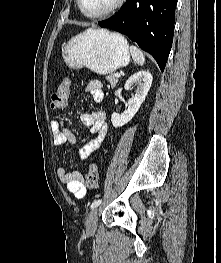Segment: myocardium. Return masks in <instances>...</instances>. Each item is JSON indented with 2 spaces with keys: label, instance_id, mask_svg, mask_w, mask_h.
Wrapping results in <instances>:
<instances>
[{
  "label": "myocardium",
  "instance_id": "f54148a6",
  "mask_svg": "<svg viewBox=\"0 0 221 263\" xmlns=\"http://www.w3.org/2000/svg\"><path fill=\"white\" fill-rule=\"evenodd\" d=\"M77 1H78V7L84 16H86L89 19H100V18L107 17L115 13L116 11H118L124 5L126 0H117L111 7H109L103 12L96 13V14L88 13L83 7L82 0H77Z\"/></svg>",
  "mask_w": 221,
  "mask_h": 263
}]
</instances>
